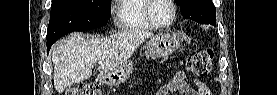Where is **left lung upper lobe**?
Listing matches in <instances>:
<instances>
[{
    "instance_id": "1",
    "label": "left lung upper lobe",
    "mask_w": 277,
    "mask_h": 95,
    "mask_svg": "<svg viewBox=\"0 0 277 95\" xmlns=\"http://www.w3.org/2000/svg\"><path fill=\"white\" fill-rule=\"evenodd\" d=\"M181 14L200 24L216 25V8L212 0H176Z\"/></svg>"
}]
</instances>
